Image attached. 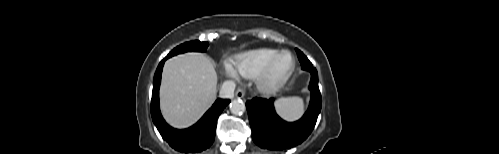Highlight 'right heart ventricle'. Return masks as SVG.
Segmentation results:
<instances>
[{
    "label": "right heart ventricle",
    "mask_w": 499,
    "mask_h": 154,
    "mask_svg": "<svg viewBox=\"0 0 499 154\" xmlns=\"http://www.w3.org/2000/svg\"><path fill=\"white\" fill-rule=\"evenodd\" d=\"M277 53V50L271 48L244 51L232 58L231 67L234 73L247 79H253L262 72L270 59Z\"/></svg>",
    "instance_id": "e07e8e85"
}]
</instances>
